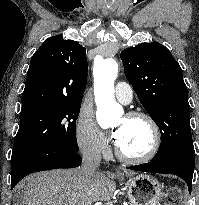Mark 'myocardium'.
Returning a JSON list of instances; mask_svg holds the SVG:
<instances>
[{"label":"myocardium","instance_id":"myocardium-1","mask_svg":"<svg viewBox=\"0 0 199 205\" xmlns=\"http://www.w3.org/2000/svg\"><path fill=\"white\" fill-rule=\"evenodd\" d=\"M125 117L129 119H143L144 121H146V123L148 124L151 130V144L149 149L144 154L139 156H130L125 154L119 147L118 143H116L115 145L116 156L121 161L130 164H140L152 160L158 153L161 145V130L157 121L149 113L140 110L130 111L126 113Z\"/></svg>","mask_w":199,"mask_h":205}]
</instances>
